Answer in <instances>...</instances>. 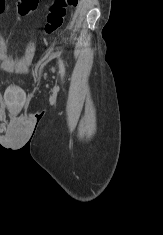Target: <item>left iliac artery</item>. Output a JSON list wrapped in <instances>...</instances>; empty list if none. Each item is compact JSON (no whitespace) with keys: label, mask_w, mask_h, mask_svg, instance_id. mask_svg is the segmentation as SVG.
I'll return each mask as SVG.
<instances>
[{"label":"left iliac artery","mask_w":163,"mask_h":235,"mask_svg":"<svg viewBox=\"0 0 163 235\" xmlns=\"http://www.w3.org/2000/svg\"><path fill=\"white\" fill-rule=\"evenodd\" d=\"M59 67H60V73L62 76H64L65 74V68H64V64L63 61L61 59H59Z\"/></svg>","instance_id":"44dca946"}]
</instances>
